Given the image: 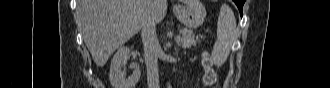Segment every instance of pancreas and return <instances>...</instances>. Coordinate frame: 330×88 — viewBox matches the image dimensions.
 Instances as JSON below:
<instances>
[{
  "mask_svg": "<svg viewBox=\"0 0 330 88\" xmlns=\"http://www.w3.org/2000/svg\"><path fill=\"white\" fill-rule=\"evenodd\" d=\"M180 34L182 35V37L179 41H177V44L183 49H187L192 46H195L197 41H199V38L196 37L195 39L194 33L189 29H182L180 31ZM200 37L202 38V36Z\"/></svg>",
  "mask_w": 330,
  "mask_h": 88,
  "instance_id": "pancreas-1",
  "label": "pancreas"
}]
</instances>
